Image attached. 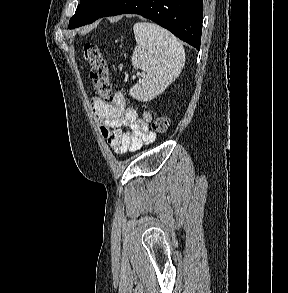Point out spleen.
Returning <instances> with one entry per match:
<instances>
[{"label":"spleen","mask_w":288,"mask_h":293,"mask_svg":"<svg viewBox=\"0 0 288 293\" xmlns=\"http://www.w3.org/2000/svg\"><path fill=\"white\" fill-rule=\"evenodd\" d=\"M137 46L131 57L135 69L146 76L131 87L130 95L148 101L161 94L181 73L185 51L181 42L159 25L138 22L133 27Z\"/></svg>","instance_id":"1"}]
</instances>
